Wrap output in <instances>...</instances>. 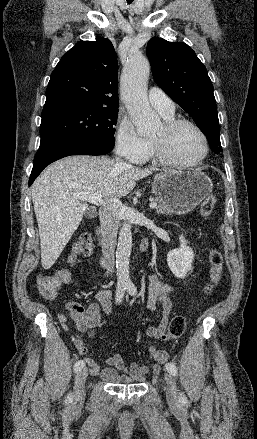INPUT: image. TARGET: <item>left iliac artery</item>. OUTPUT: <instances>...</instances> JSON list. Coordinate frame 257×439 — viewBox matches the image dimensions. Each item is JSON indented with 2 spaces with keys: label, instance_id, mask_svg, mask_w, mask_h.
Returning <instances> with one entry per match:
<instances>
[{
  "label": "left iliac artery",
  "instance_id": "obj_1",
  "mask_svg": "<svg viewBox=\"0 0 257 439\" xmlns=\"http://www.w3.org/2000/svg\"><path fill=\"white\" fill-rule=\"evenodd\" d=\"M126 290L131 295H135L137 293V288L135 287V285L132 282H128L126 284ZM166 370L173 376H177V374H178L177 367L174 363H168L166 365ZM180 400L181 401L186 400V397L182 393L180 394Z\"/></svg>",
  "mask_w": 257,
  "mask_h": 439
}]
</instances>
